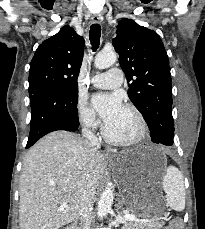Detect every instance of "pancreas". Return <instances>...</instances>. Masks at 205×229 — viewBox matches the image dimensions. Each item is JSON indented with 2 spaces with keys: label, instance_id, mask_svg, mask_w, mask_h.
<instances>
[{
  "label": "pancreas",
  "instance_id": "cf45deb5",
  "mask_svg": "<svg viewBox=\"0 0 205 229\" xmlns=\"http://www.w3.org/2000/svg\"><path fill=\"white\" fill-rule=\"evenodd\" d=\"M152 227H155V229H157L158 224H146ZM136 226H142L141 222H132L129 224V228L128 229H135Z\"/></svg>",
  "mask_w": 205,
  "mask_h": 229
}]
</instances>
